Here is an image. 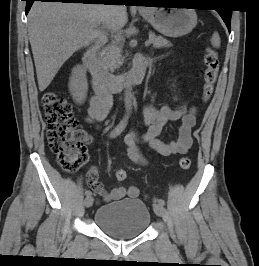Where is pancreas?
<instances>
[{
  "label": "pancreas",
  "mask_w": 259,
  "mask_h": 266,
  "mask_svg": "<svg viewBox=\"0 0 259 266\" xmlns=\"http://www.w3.org/2000/svg\"><path fill=\"white\" fill-rule=\"evenodd\" d=\"M152 38L154 48L172 46V44L162 36H153ZM119 44L120 39L115 38V40H113L110 45L106 46L100 53V62L111 72L122 65L121 47L119 46Z\"/></svg>",
  "instance_id": "pancreas-1"
}]
</instances>
